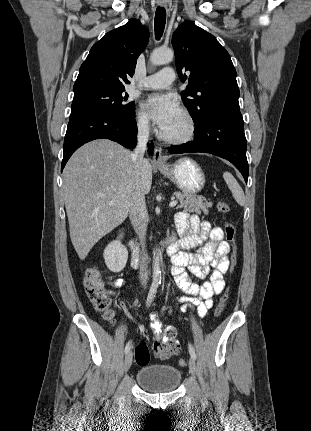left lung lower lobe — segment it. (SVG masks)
<instances>
[{"label": "left lung lower lobe", "instance_id": "obj_1", "mask_svg": "<svg viewBox=\"0 0 311 431\" xmlns=\"http://www.w3.org/2000/svg\"><path fill=\"white\" fill-rule=\"evenodd\" d=\"M194 141L171 146L172 154L204 152L230 161L243 175L246 183L249 167L246 158V138L240 110H225L208 118L195 128Z\"/></svg>", "mask_w": 311, "mask_h": 431}]
</instances>
